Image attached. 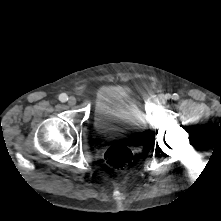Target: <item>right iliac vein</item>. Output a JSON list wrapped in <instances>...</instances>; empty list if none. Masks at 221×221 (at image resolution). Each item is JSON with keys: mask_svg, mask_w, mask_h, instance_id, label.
<instances>
[{"mask_svg": "<svg viewBox=\"0 0 221 221\" xmlns=\"http://www.w3.org/2000/svg\"><path fill=\"white\" fill-rule=\"evenodd\" d=\"M68 104L71 105V106L75 105V104H76V98L73 97V96L70 97V98L68 99Z\"/></svg>", "mask_w": 221, "mask_h": 221, "instance_id": "right-iliac-vein-1", "label": "right iliac vein"}]
</instances>
